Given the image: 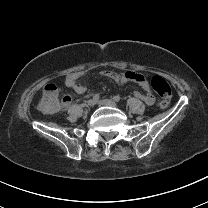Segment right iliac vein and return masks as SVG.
Wrapping results in <instances>:
<instances>
[{
    "label": "right iliac vein",
    "instance_id": "right-iliac-vein-1",
    "mask_svg": "<svg viewBox=\"0 0 208 208\" xmlns=\"http://www.w3.org/2000/svg\"><path fill=\"white\" fill-rule=\"evenodd\" d=\"M95 104H96V101H95L94 99H89V100L87 101V105H88L89 107H93Z\"/></svg>",
    "mask_w": 208,
    "mask_h": 208
}]
</instances>
